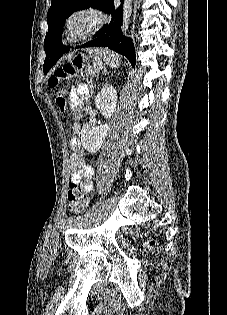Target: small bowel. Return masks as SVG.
<instances>
[{
  "label": "small bowel",
  "mask_w": 227,
  "mask_h": 315,
  "mask_svg": "<svg viewBox=\"0 0 227 315\" xmlns=\"http://www.w3.org/2000/svg\"><path fill=\"white\" fill-rule=\"evenodd\" d=\"M89 97V89L85 84H78L70 94V102L72 109L76 116L80 114V105L83 100ZM76 133L79 131L80 126L76 122L72 127ZM69 148L72 152L70 156L71 168V182L81 185L85 193H91L94 189V175L95 169L93 166L86 163L84 154L81 150L80 141L77 137H72L69 140Z\"/></svg>",
  "instance_id": "c3829d8e"
}]
</instances>
